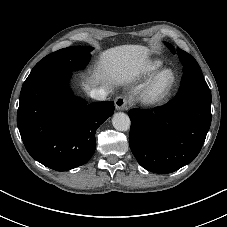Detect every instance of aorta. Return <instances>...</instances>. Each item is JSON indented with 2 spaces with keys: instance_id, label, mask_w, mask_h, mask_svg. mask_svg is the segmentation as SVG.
I'll return each instance as SVG.
<instances>
[{
  "instance_id": "obj_1",
  "label": "aorta",
  "mask_w": 227,
  "mask_h": 227,
  "mask_svg": "<svg viewBox=\"0 0 227 227\" xmlns=\"http://www.w3.org/2000/svg\"><path fill=\"white\" fill-rule=\"evenodd\" d=\"M113 127L118 131H127L130 128V118L123 112H118L112 118Z\"/></svg>"
}]
</instances>
